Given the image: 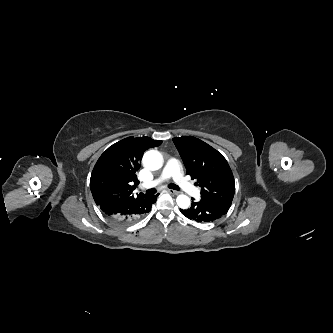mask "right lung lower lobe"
Segmentation results:
<instances>
[{
  "mask_svg": "<svg viewBox=\"0 0 333 333\" xmlns=\"http://www.w3.org/2000/svg\"><path fill=\"white\" fill-rule=\"evenodd\" d=\"M157 195L143 196L141 198L113 199L99 205L101 211L111 221L119 224H133L146 213L150 212L151 206L156 202Z\"/></svg>",
  "mask_w": 333,
  "mask_h": 333,
  "instance_id": "obj_1",
  "label": "right lung lower lobe"
}]
</instances>
